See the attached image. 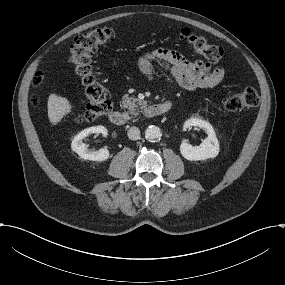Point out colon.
<instances>
[{"label":"colon","mask_w":285,"mask_h":285,"mask_svg":"<svg viewBox=\"0 0 285 285\" xmlns=\"http://www.w3.org/2000/svg\"><path fill=\"white\" fill-rule=\"evenodd\" d=\"M180 34L189 42L192 49L197 54L203 56L209 63L216 64L223 59L224 50L222 47L209 43L188 28L181 29ZM111 36V29L107 27L95 28L77 36L71 46L69 62L79 78L86 98L84 112L75 118V121L78 123L96 120L112 109L108 91L95 78L91 66L92 57L101 46L110 40ZM43 77L42 73H37L34 78V85L39 86L43 81ZM258 102L259 96L257 91L253 88H246L226 97L223 104L225 109L230 112H240L256 107ZM32 103H38L36 96L32 97Z\"/></svg>","instance_id":"colon-1"}]
</instances>
